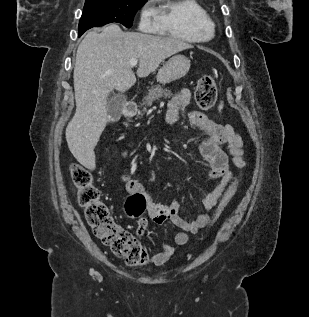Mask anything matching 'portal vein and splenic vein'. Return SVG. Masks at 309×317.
<instances>
[{
    "label": "portal vein and splenic vein",
    "instance_id": "portal-vein-and-splenic-vein-1",
    "mask_svg": "<svg viewBox=\"0 0 309 317\" xmlns=\"http://www.w3.org/2000/svg\"><path fill=\"white\" fill-rule=\"evenodd\" d=\"M137 63H138V60H137V59H131V60H130V65H131L132 67L136 66Z\"/></svg>",
    "mask_w": 309,
    "mask_h": 317
}]
</instances>
